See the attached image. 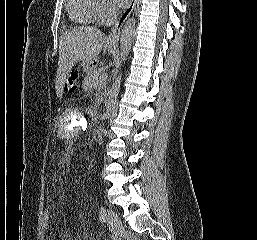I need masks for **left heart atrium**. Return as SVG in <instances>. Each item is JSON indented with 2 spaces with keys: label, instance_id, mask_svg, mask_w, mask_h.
I'll return each mask as SVG.
<instances>
[{
  "label": "left heart atrium",
  "instance_id": "obj_1",
  "mask_svg": "<svg viewBox=\"0 0 257 240\" xmlns=\"http://www.w3.org/2000/svg\"><path fill=\"white\" fill-rule=\"evenodd\" d=\"M130 0H113L114 4L117 6H125Z\"/></svg>",
  "mask_w": 257,
  "mask_h": 240
}]
</instances>
